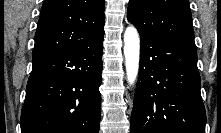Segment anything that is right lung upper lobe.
I'll use <instances>...</instances> for the list:
<instances>
[{"instance_id": "obj_1", "label": "right lung upper lobe", "mask_w": 221, "mask_h": 133, "mask_svg": "<svg viewBox=\"0 0 221 133\" xmlns=\"http://www.w3.org/2000/svg\"><path fill=\"white\" fill-rule=\"evenodd\" d=\"M104 0H44L33 56L80 47L104 31Z\"/></svg>"}]
</instances>
